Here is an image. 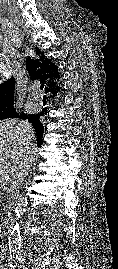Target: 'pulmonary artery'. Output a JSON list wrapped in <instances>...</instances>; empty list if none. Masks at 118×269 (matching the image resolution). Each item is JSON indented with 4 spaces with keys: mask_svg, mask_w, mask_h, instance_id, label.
Returning a JSON list of instances; mask_svg holds the SVG:
<instances>
[{
    "mask_svg": "<svg viewBox=\"0 0 118 269\" xmlns=\"http://www.w3.org/2000/svg\"><path fill=\"white\" fill-rule=\"evenodd\" d=\"M34 101H35L36 103H39V102H40V99H39V98H35Z\"/></svg>",
    "mask_w": 118,
    "mask_h": 269,
    "instance_id": "pulmonary-artery-1",
    "label": "pulmonary artery"
}]
</instances>
